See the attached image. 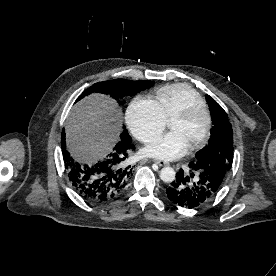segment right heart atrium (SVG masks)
<instances>
[{"instance_id":"1","label":"right heart atrium","mask_w":276,"mask_h":276,"mask_svg":"<svg viewBox=\"0 0 276 276\" xmlns=\"http://www.w3.org/2000/svg\"><path fill=\"white\" fill-rule=\"evenodd\" d=\"M126 121L133 135L145 143L160 135L167 123L158 105L144 97H136L131 101Z\"/></svg>"}]
</instances>
